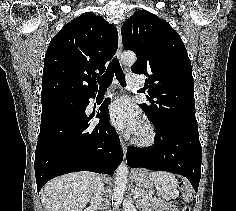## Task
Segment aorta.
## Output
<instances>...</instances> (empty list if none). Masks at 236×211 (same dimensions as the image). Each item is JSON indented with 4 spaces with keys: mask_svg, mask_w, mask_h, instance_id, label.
<instances>
[{
    "mask_svg": "<svg viewBox=\"0 0 236 211\" xmlns=\"http://www.w3.org/2000/svg\"><path fill=\"white\" fill-rule=\"evenodd\" d=\"M136 59H137L136 55L132 51L124 52L121 55V61L125 65L134 64ZM128 173L129 171H128L127 165L124 162H122L118 166L116 170V174H115V186H114V190L112 194V206L114 208H117L123 201L124 192H125L126 184H127Z\"/></svg>",
    "mask_w": 236,
    "mask_h": 211,
    "instance_id": "762f6f07",
    "label": "aorta"
}]
</instances>
